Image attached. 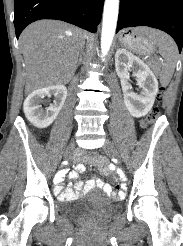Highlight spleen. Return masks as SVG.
<instances>
[{
    "instance_id": "1",
    "label": "spleen",
    "mask_w": 183,
    "mask_h": 246,
    "mask_svg": "<svg viewBox=\"0 0 183 246\" xmlns=\"http://www.w3.org/2000/svg\"><path fill=\"white\" fill-rule=\"evenodd\" d=\"M147 36L152 44L159 47V52L164 58L159 78L161 84L167 86L175 70L178 56L177 46L173 39L162 31L148 29Z\"/></svg>"
}]
</instances>
